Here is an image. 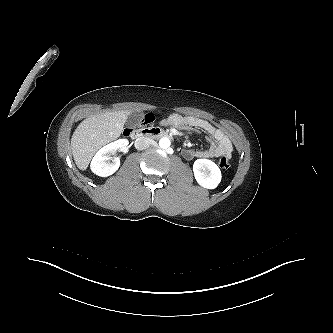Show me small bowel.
Instances as JSON below:
<instances>
[{
    "instance_id": "1",
    "label": "small bowel",
    "mask_w": 333,
    "mask_h": 333,
    "mask_svg": "<svg viewBox=\"0 0 333 333\" xmlns=\"http://www.w3.org/2000/svg\"><path fill=\"white\" fill-rule=\"evenodd\" d=\"M162 125H168L176 129H188L197 133H206L209 136V147L204 150L187 148L183 150V156L187 159L212 158L227 156L232 153V143L223 130L212 123L193 116L172 114L161 121Z\"/></svg>"
}]
</instances>
